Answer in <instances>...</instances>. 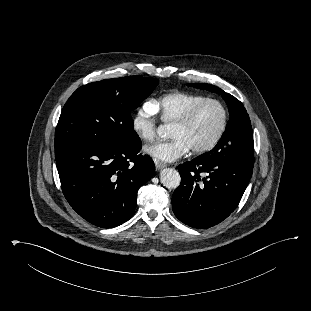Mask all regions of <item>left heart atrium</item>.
Wrapping results in <instances>:
<instances>
[{
  "label": "left heart atrium",
  "instance_id": "39dd6f15",
  "mask_svg": "<svg viewBox=\"0 0 311 311\" xmlns=\"http://www.w3.org/2000/svg\"><path fill=\"white\" fill-rule=\"evenodd\" d=\"M189 150L190 147L180 138L156 142L144 149L145 153L154 160L163 162H173L184 156Z\"/></svg>",
  "mask_w": 311,
  "mask_h": 311
}]
</instances>
